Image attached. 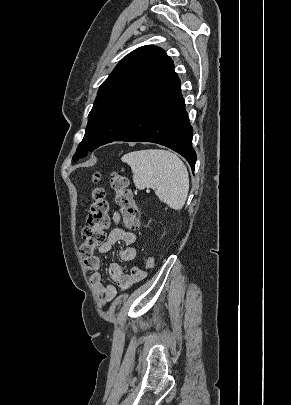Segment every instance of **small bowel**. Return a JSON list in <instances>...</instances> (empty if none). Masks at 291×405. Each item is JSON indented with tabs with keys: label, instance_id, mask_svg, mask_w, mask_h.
<instances>
[{
	"label": "small bowel",
	"instance_id": "1",
	"mask_svg": "<svg viewBox=\"0 0 291 405\" xmlns=\"http://www.w3.org/2000/svg\"><path fill=\"white\" fill-rule=\"evenodd\" d=\"M113 221L114 225L109 229L107 240L99 246L98 251L100 254H107L115 243L122 242L126 247L120 251V259L123 262H131L136 258V250L132 247V244L136 240V235L119 225V213L115 212L113 214ZM84 266L91 272L90 283L99 301L102 304H106L113 300L117 294V290L112 284H104L100 273V259L97 256L84 259ZM108 271L112 281L122 290L131 287L133 283L144 275L142 270L136 266L129 273H125L122 266L118 263H111Z\"/></svg>",
	"mask_w": 291,
	"mask_h": 405
}]
</instances>
